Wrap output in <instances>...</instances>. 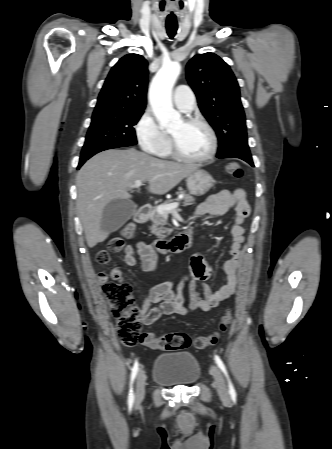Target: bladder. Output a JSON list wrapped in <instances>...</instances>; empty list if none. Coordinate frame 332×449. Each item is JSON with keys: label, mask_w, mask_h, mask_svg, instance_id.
<instances>
[{"label": "bladder", "mask_w": 332, "mask_h": 449, "mask_svg": "<svg viewBox=\"0 0 332 449\" xmlns=\"http://www.w3.org/2000/svg\"><path fill=\"white\" fill-rule=\"evenodd\" d=\"M200 375L199 360L191 352L160 354L155 360L152 372L155 382L168 387L192 385Z\"/></svg>", "instance_id": "obj_1"}]
</instances>
